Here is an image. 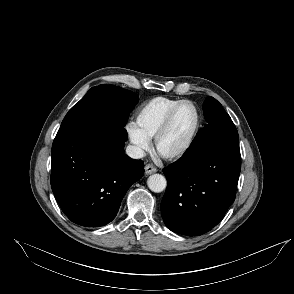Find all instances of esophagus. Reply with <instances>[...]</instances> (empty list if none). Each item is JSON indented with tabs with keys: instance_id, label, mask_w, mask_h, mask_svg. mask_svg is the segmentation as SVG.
Returning <instances> with one entry per match:
<instances>
[{
	"instance_id": "esophagus-1",
	"label": "esophagus",
	"mask_w": 294,
	"mask_h": 294,
	"mask_svg": "<svg viewBox=\"0 0 294 294\" xmlns=\"http://www.w3.org/2000/svg\"><path fill=\"white\" fill-rule=\"evenodd\" d=\"M144 169H145L146 175H150V174L155 173L157 171V169L151 164L145 165Z\"/></svg>"
}]
</instances>
